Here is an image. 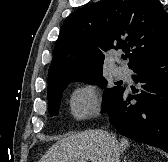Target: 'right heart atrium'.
<instances>
[{
    "instance_id": "right-heart-atrium-1",
    "label": "right heart atrium",
    "mask_w": 168,
    "mask_h": 162,
    "mask_svg": "<svg viewBox=\"0 0 168 162\" xmlns=\"http://www.w3.org/2000/svg\"><path fill=\"white\" fill-rule=\"evenodd\" d=\"M70 109L76 118L94 116L99 111V100L95 88L84 85L75 90L70 99Z\"/></svg>"
}]
</instances>
